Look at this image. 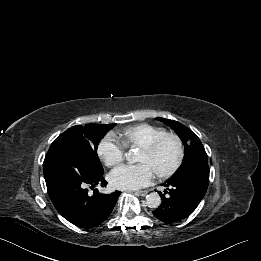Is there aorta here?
<instances>
[{
    "mask_svg": "<svg viewBox=\"0 0 261 261\" xmlns=\"http://www.w3.org/2000/svg\"><path fill=\"white\" fill-rule=\"evenodd\" d=\"M126 159L130 162H134V156L132 151L126 154ZM147 205L150 208H158L161 204V197L157 192H152L146 196Z\"/></svg>",
    "mask_w": 261,
    "mask_h": 261,
    "instance_id": "aorta-1",
    "label": "aorta"
}]
</instances>
